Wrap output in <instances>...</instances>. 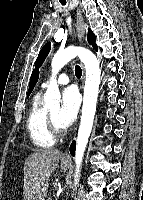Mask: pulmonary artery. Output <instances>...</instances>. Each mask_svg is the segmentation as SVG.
I'll use <instances>...</instances> for the list:
<instances>
[{"instance_id": "pulmonary-artery-1", "label": "pulmonary artery", "mask_w": 143, "mask_h": 200, "mask_svg": "<svg viewBox=\"0 0 143 200\" xmlns=\"http://www.w3.org/2000/svg\"><path fill=\"white\" fill-rule=\"evenodd\" d=\"M56 82H57L58 84H60V85H65V84H67V83L69 82V77H68L67 74L62 73V74H60V75L57 77ZM48 84H49L48 82H45V83H43L42 86H43V87H47Z\"/></svg>"}]
</instances>
